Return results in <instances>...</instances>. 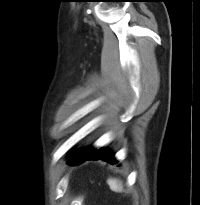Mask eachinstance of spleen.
Wrapping results in <instances>:
<instances>
[{
	"label": "spleen",
	"mask_w": 200,
	"mask_h": 205,
	"mask_svg": "<svg viewBox=\"0 0 200 205\" xmlns=\"http://www.w3.org/2000/svg\"><path fill=\"white\" fill-rule=\"evenodd\" d=\"M108 185L110 186V189L114 192H122L123 191V186L122 182L115 179V178H109L107 180Z\"/></svg>",
	"instance_id": "1"
}]
</instances>
